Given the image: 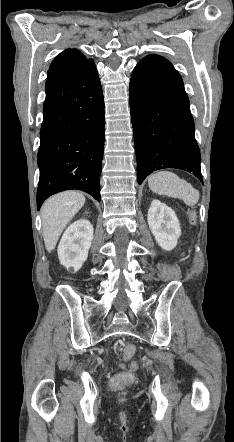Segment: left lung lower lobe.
<instances>
[{
	"mask_svg": "<svg viewBox=\"0 0 234 442\" xmlns=\"http://www.w3.org/2000/svg\"><path fill=\"white\" fill-rule=\"evenodd\" d=\"M130 108L138 183L163 168L186 170L203 182L189 99L167 59L148 55L137 64L130 80Z\"/></svg>",
	"mask_w": 234,
	"mask_h": 442,
	"instance_id": "1",
	"label": "left lung lower lobe"
}]
</instances>
